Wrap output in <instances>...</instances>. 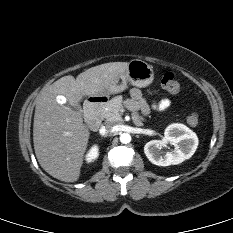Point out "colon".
<instances>
[{"instance_id":"1","label":"colon","mask_w":233,"mask_h":233,"mask_svg":"<svg viewBox=\"0 0 233 233\" xmlns=\"http://www.w3.org/2000/svg\"><path fill=\"white\" fill-rule=\"evenodd\" d=\"M161 86L169 93L176 94L180 91V84L176 79L174 73L166 72L161 77ZM187 123L190 126H196L199 123V116L197 113H191L187 117Z\"/></svg>"}]
</instances>
